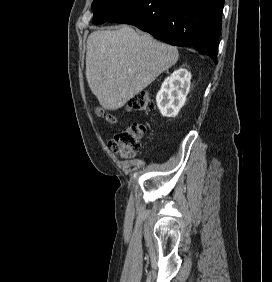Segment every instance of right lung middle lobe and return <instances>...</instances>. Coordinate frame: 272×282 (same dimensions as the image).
<instances>
[{
	"mask_svg": "<svg viewBox=\"0 0 272 282\" xmlns=\"http://www.w3.org/2000/svg\"><path fill=\"white\" fill-rule=\"evenodd\" d=\"M136 0H94L92 10L94 13L93 23L102 24L120 13Z\"/></svg>",
	"mask_w": 272,
	"mask_h": 282,
	"instance_id": "right-lung-middle-lobe-1",
	"label": "right lung middle lobe"
}]
</instances>
